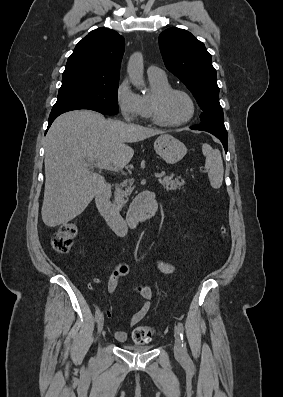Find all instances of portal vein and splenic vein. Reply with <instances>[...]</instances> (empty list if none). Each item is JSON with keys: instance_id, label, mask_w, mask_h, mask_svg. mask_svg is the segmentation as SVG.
<instances>
[{"instance_id": "obj_1", "label": "portal vein and splenic vein", "mask_w": 283, "mask_h": 397, "mask_svg": "<svg viewBox=\"0 0 283 397\" xmlns=\"http://www.w3.org/2000/svg\"><path fill=\"white\" fill-rule=\"evenodd\" d=\"M97 166L99 168H103V169H107V170H113V171H118L117 168H115L112 164H110L109 162H102V163H98ZM164 172L161 173H154V176L157 178H161L164 176Z\"/></svg>"}]
</instances>
